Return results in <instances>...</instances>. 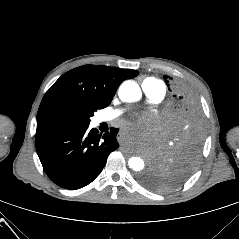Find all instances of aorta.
<instances>
[{
    "label": "aorta",
    "mask_w": 239,
    "mask_h": 239,
    "mask_svg": "<svg viewBox=\"0 0 239 239\" xmlns=\"http://www.w3.org/2000/svg\"><path fill=\"white\" fill-rule=\"evenodd\" d=\"M119 97L125 102H136L141 96L142 92L139 85L133 80L124 81L119 88ZM129 167L134 171H141L144 169L145 163L140 157H131L128 160Z\"/></svg>",
    "instance_id": "762f6f07"
}]
</instances>
